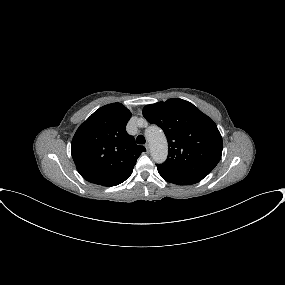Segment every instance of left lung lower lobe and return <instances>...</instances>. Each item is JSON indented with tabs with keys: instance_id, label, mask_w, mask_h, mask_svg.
<instances>
[{
	"instance_id": "obj_1",
	"label": "left lung lower lobe",
	"mask_w": 285,
	"mask_h": 285,
	"mask_svg": "<svg viewBox=\"0 0 285 285\" xmlns=\"http://www.w3.org/2000/svg\"><path fill=\"white\" fill-rule=\"evenodd\" d=\"M159 172V171H158ZM159 174L167 181L177 185H191L198 183L202 179L189 176H176L159 172Z\"/></svg>"
}]
</instances>
